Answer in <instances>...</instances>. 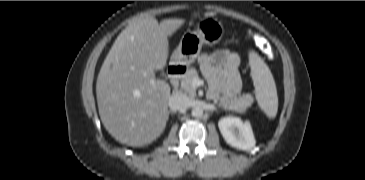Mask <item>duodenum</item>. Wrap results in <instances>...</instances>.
<instances>
[{
    "mask_svg": "<svg viewBox=\"0 0 365 180\" xmlns=\"http://www.w3.org/2000/svg\"><path fill=\"white\" fill-rule=\"evenodd\" d=\"M186 71H187L186 67L182 65H171L168 68V76L170 84L173 87H176L178 85L179 80L183 77Z\"/></svg>",
    "mask_w": 365,
    "mask_h": 180,
    "instance_id": "1",
    "label": "duodenum"
}]
</instances>
